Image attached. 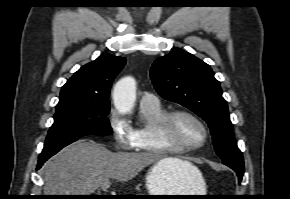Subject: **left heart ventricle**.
<instances>
[{
  "mask_svg": "<svg viewBox=\"0 0 290 199\" xmlns=\"http://www.w3.org/2000/svg\"><path fill=\"white\" fill-rule=\"evenodd\" d=\"M169 138L185 146H195L203 140V130L193 119L186 116L175 118Z\"/></svg>",
  "mask_w": 290,
  "mask_h": 199,
  "instance_id": "obj_1",
  "label": "left heart ventricle"
}]
</instances>
